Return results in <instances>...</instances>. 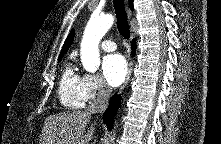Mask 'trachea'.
<instances>
[{"mask_svg": "<svg viewBox=\"0 0 221 144\" xmlns=\"http://www.w3.org/2000/svg\"><path fill=\"white\" fill-rule=\"evenodd\" d=\"M115 14L117 18V28L124 39H129V26L127 22V14L124 7L123 0H113Z\"/></svg>", "mask_w": 221, "mask_h": 144, "instance_id": "trachea-1", "label": "trachea"}]
</instances>
